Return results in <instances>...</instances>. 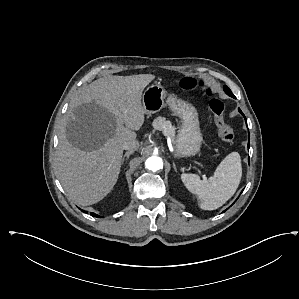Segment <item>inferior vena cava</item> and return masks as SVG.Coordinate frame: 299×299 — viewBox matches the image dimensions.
<instances>
[{
	"mask_svg": "<svg viewBox=\"0 0 299 299\" xmlns=\"http://www.w3.org/2000/svg\"><path fill=\"white\" fill-rule=\"evenodd\" d=\"M122 148L134 152L139 148V142L135 139H127L123 142Z\"/></svg>",
	"mask_w": 299,
	"mask_h": 299,
	"instance_id": "602c4592",
	"label": "inferior vena cava"
}]
</instances>
